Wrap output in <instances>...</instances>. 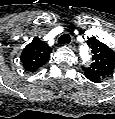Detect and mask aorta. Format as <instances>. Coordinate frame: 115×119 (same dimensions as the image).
<instances>
[{
	"instance_id": "obj_1",
	"label": "aorta",
	"mask_w": 115,
	"mask_h": 119,
	"mask_svg": "<svg viewBox=\"0 0 115 119\" xmlns=\"http://www.w3.org/2000/svg\"><path fill=\"white\" fill-rule=\"evenodd\" d=\"M80 57L83 63H88L91 60L90 49L87 45H82L80 47Z\"/></svg>"
}]
</instances>
